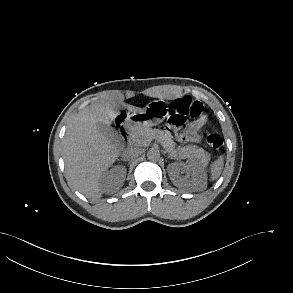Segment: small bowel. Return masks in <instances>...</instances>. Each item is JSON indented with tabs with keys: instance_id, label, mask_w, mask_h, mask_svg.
I'll list each match as a JSON object with an SVG mask.
<instances>
[{
	"instance_id": "obj_1",
	"label": "small bowel",
	"mask_w": 293,
	"mask_h": 293,
	"mask_svg": "<svg viewBox=\"0 0 293 293\" xmlns=\"http://www.w3.org/2000/svg\"><path fill=\"white\" fill-rule=\"evenodd\" d=\"M206 122L204 116L199 117L198 119L191 122L186 129L184 135L180 140H185L188 142L198 143L201 141V129L203 128Z\"/></svg>"
}]
</instances>
